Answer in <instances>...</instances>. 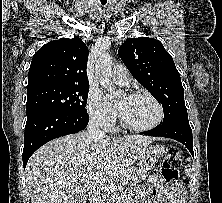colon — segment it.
<instances>
[{
    "label": "colon",
    "mask_w": 222,
    "mask_h": 203,
    "mask_svg": "<svg viewBox=\"0 0 222 203\" xmlns=\"http://www.w3.org/2000/svg\"><path fill=\"white\" fill-rule=\"evenodd\" d=\"M181 161L182 155L179 149L172 145L168 146L161 166V175L164 181L171 184L177 183Z\"/></svg>",
    "instance_id": "colon-1"
}]
</instances>
